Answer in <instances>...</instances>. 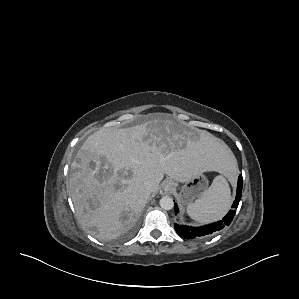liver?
I'll use <instances>...</instances> for the list:
<instances>
[{"mask_svg": "<svg viewBox=\"0 0 299 299\" xmlns=\"http://www.w3.org/2000/svg\"><path fill=\"white\" fill-rule=\"evenodd\" d=\"M234 164L220 139L157 115L130 128L91 134L71 164L69 191L82 227L111 240L135 222L164 174L187 182L205 171L229 174Z\"/></svg>", "mask_w": 299, "mask_h": 299, "instance_id": "obj_1", "label": "liver"}]
</instances>
